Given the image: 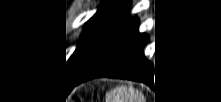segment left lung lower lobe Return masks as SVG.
Returning <instances> with one entry per match:
<instances>
[{
	"label": "left lung lower lobe",
	"instance_id": "left-lung-lower-lobe-1",
	"mask_svg": "<svg viewBox=\"0 0 221 102\" xmlns=\"http://www.w3.org/2000/svg\"><path fill=\"white\" fill-rule=\"evenodd\" d=\"M138 25V18H129L90 63L77 76L69 78V87L96 77L152 83V63L143 52L149 37L138 32Z\"/></svg>",
	"mask_w": 221,
	"mask_h": 102
}]
</instances>
